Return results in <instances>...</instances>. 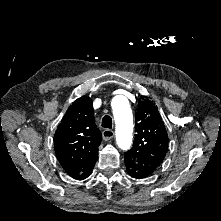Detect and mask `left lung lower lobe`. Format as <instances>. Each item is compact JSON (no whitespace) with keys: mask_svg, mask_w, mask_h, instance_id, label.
I'll return each instance as SVG.
<instances>
[{"mask_svg":"<svg viewBox=\"0 0 221 221\" xmlns=\"http://www.w3.org/2000/svg\"><path fill=\"white\" fill-rule=\"evenodd\" d=\"M124 162L129 175L136 179H144L151 175L152 173L141 167L138 163H136L133 159L124 154Z\"/></svg>","mask_w":221,"mask_h":221,"instance_id":"left-lung-lower-lobe-1","label":"left lung lower lobe"}]
</instances>
